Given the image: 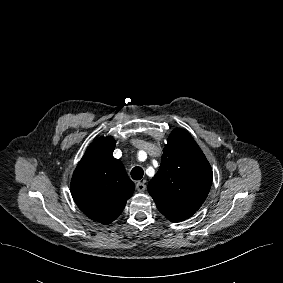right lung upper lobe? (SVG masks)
<instances>
[{"instance_id": "right-lung-upper-lobe-1", "label": "right lung upper lobe", "mask_w": 283, "mask_h": 283, "mask_svg": "<svg viewBox=\"0 0 283 283\" xmlns=\"http://www.w3.org/2000/svg\"><path fill=\"white\" fill-rule=\"evenodd\" d=\"M113 137H101L88 147L71 180V194L80 210L102 224L114 221L132 196L135 185L122 162L113 157Z\"/></svg>"}]
</instances>
